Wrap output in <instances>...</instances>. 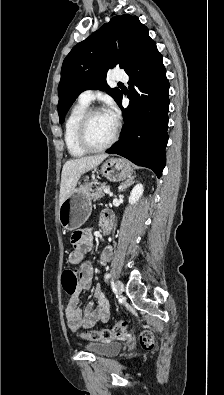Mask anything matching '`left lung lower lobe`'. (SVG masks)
Instances as JSON below:
<instances>
[{
  "label": "left lung lower lobe",
  "instance_id": "obj_1",
  "mask_svg": "<svg viewBox=\"0 0 224 395\" xmlns=\"http://www.w3.org/2000/svg\"><path fill=\"white\" fill-rule=\"evenodd\" d=\"M126 73L130 78L129 106L122 107V94L117 101L124 118L121 138L106 152L148 167L160 177L168 141L169 82L154 41Z\"/></svg>",
  "mask_w": 224,
  "mask_h": 395
}]
</instances>
